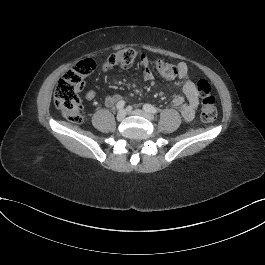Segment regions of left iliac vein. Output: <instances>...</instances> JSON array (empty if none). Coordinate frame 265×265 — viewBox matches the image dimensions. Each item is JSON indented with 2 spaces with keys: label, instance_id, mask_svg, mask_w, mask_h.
<instances>
[{
  "label": "left iliac vein",
  "instance_id": "1",
  "mask_svg": "<svg viewBox=\"0 0 265 265\" xmlns=\"http://www.w3.org/2000/svg\"><path fill=\"white\" fill-rule=\"evenodd\" d=\"M130 113L133 115L142 116L150 121L154 120V116L144 110L136 109V110L130 111Z\"/></svg>",
  "mask_w": 265,
  "mask_h": 265
}]
</instances>
